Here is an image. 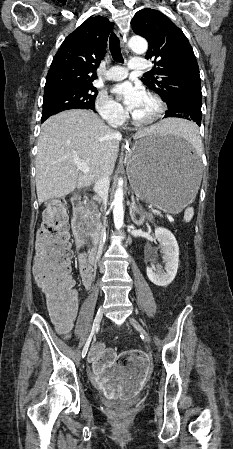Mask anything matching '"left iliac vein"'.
<instances>
[{"label": "left iliac vein", "mask_w": 233, "mask_h": 449, "mask_svg": "<svg viewBox=\"0 0 233 449\" xmlns=\"http://www.w3.org/2000/svg\"><path fill=\"white\" fill-rule=\"evenodd\" d=\"M129 322L135 329H137L143 335L145 340L149 344H151V337H150L149 333L142 327V325L134 317H130Z\"/></svg>", "instance_id": "4c4485c4"}]
</instances>
